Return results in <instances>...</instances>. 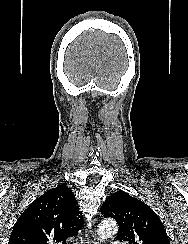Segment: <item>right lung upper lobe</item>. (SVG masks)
Returning <instances> with one entry per match:
<instances>
[{
	"label": "right lung upper lobe",
	"instance_id": "1",
	"mask_svg": "<svg viewBox=\"0 0 188 244\" xmlns=\"http://www.w3.org/2000/svg\"><path fill=\"white\" fill-rule=\"evenodd\" d=\"M83 216L66 185H58L37 198L17 220L8 244H66L78 235Z\"/></svg>",
	"mask_w": 188,
	"mask_h": 244
}]
</instances>
